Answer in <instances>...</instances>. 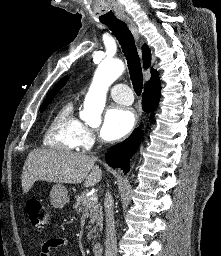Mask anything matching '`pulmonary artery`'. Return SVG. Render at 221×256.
<instances>
[{
	"label": "pulmonary artery",
	"mask_w": 221,
	"mask_h": 256,
	"mask_svg": "<svg viewBox=\"0 0 221 256\" xmlns=\"http://www.w3.org/2000/svg\"><path fill=\"white\" fill-rule=\"evenodd\" d=\"M111 97L118 103L129 105L133 102L131 89L126 84H115L110 89Z\"/></svg>",
	"instance_id": "e3ab8cb5"
}]
</instances>
